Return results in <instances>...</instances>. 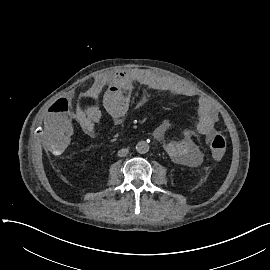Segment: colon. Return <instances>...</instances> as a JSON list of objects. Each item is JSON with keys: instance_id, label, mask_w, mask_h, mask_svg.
<instances>
[{"instance_id": "1", "label": "colon", "mask_w": 270, "mask_h": 270, "mask_svg": "<svg viewBox=\"0 0 270 270\" xmlns=\"http://www.w3.org/2000/svg\"><path fill=\"white\" fill-rule=\"evenodd\" d=\"M227 145V139L222 133H215L208 142V147L214 154V159L218 163H223L227 159V154L224 151Z\"/></svg>"}]
</instances>
